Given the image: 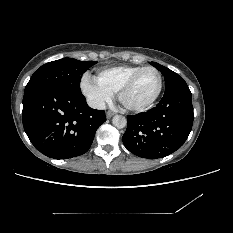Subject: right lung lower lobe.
<instances>
[{
    "instance_id": "1",
    "label": "right lung lower lobe",
    "mask_w": 233,
    "mask_h": 233,
    "mask_svg": "<svg viewBox=\"0 0 233 233\" xmlns=\"http://www.w3.org/2000/svg\"><path fill=\"white\" fill-rule=\"evenodd\" d=\"M105 112L92 109L81 91L42 87L24 94L22 122L34 147L54 159L86 153Z\"/></svg>"
}]
</instances>
